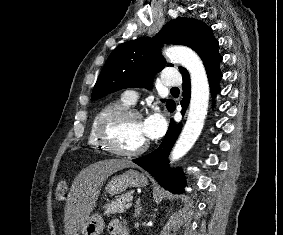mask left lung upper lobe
I'll return each mask as SVG.
<instances>
[{"instance_id":"left-lung-upper-lobe-1","label":"left lung upper lobe","mask_w":283,"mask_h":235,"mask_svg":"<svg viewBox=\"0 0 283 235\" xmlns=\"http://www.w3.org/2000/svg\"><path fill=\"white\" fill-rule=\"evenodd\" d=\"M163 43L192 48L201 57L206 70L222 61L212 29L199 20L178 17L168 22L153 38L140 37L116 47L97 79L91 100L123 88L151 89L154 75L166 66V60L160 54ZM179 70L183 78L189 75L185 68L179 67ZM174 104L168 100L167 109L170 111Z\"/></svg>"}]
</instances>
